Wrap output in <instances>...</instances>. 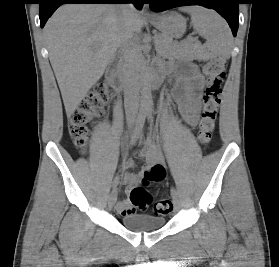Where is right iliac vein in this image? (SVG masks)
I'll return each instance as SVG.
<instances>
[{"label":"right iliac vein","mask_w":279,"mask_h":267,"mask_svg":"<svg viewBox=\"0 0 279 267\" xmlns=\"http://www.w3.org/2000/svg\"><path fill=\"white\" fill-rule=\"evenodd\" d=\"M116 200H117V191L113 190L108 198L109 208H112L114 206V204L116 203Z\"/></svg>","instance_id":"63e3f726"}]
</instances>
